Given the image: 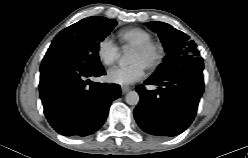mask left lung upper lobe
I'll list each match as a JSON object with an SVG mask.
<instances>
[{
    "label": "left lung upper lobe",
    "instance_id": "left-lung-upper-lobe-1",
    "mask_svg": "<svg viewBox=\"0 0 248 158\" xmlns=\"http://www.w3.org/2000/svg\"><path fill=\"white\" fill-rule=\"evenodd\" d=\"M146 25L158 33L167 53L152 77H163L177 66L199 59L197 45L185 33L163 22H149Z\"/></svg>",
    "mask_w": 248,
    "mask_h": 158
}]
</instances>
